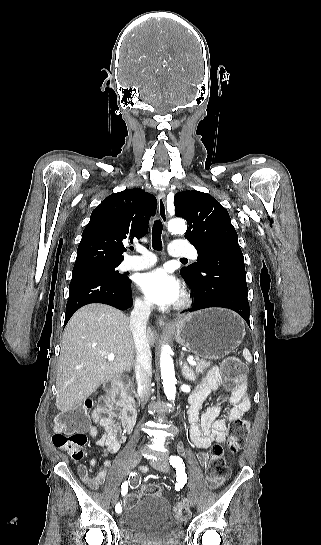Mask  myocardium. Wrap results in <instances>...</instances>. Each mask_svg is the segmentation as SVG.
<instances>
[{"instance_id": "myocardium-1", "label": "myocardium", "mask_w": 321, "mask_h": 545, "mask_svg": "<svg viewBox=\"0 0 321 545\" xmlns=\"http://www.w3.org/2000/svg\"><path fill=\"white\" fill-rule=\"evenodd\" d=\"M192 302L190 297L187 294H184L181 299L180 308L187 309L191 306Z\"/></svg>"}]
</instances>
